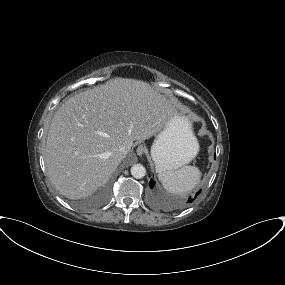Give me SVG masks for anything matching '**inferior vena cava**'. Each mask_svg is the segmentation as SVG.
<instances>
[{"label":"inferior vena cava","mask_w":285,"mask_h":285,"mask_svg":"<svg viewBox=\"0 0 285 285\" xmlns=\"http://www.w3.org/2000/svg\"><path fill=\"white\" fill-rule=\"evenodd\" d=\"M126 154H127V148L125 146H121L119 148V156H120V158L125 157Z\"/></svg>","instance_id":"1"}]
</instances>
